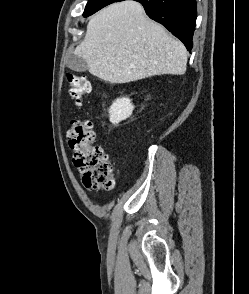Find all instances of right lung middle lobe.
Masks as SVG:
<instances>
[{
  "mask_svg": "<svg viewBox=\"0 0 249 294\" xmlns=\"http://www.w3.org/2000/svg\"><path fill=\"white\" fill-rule=\"evenodd\" d=\"M116 1L117 0H89L85 7L83 16L88 17L97 12L98 10H100L101 8L105 7L106 5Z\"/></svg>",
  "mask_w": 249,
  "mask_h": 294,
  "instance_id": "1",
  "label": "right lung middle lobe"
}]
</instances>
